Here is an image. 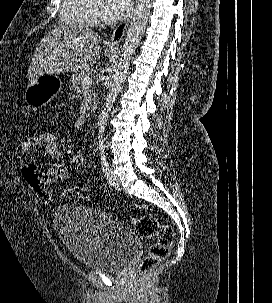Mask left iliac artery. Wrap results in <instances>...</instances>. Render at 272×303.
Here are the masks:
<instances>
[{"label": "left iliac artery", "instance_id": "obj_1", "mask_svg": "<svg viewBox=\"0 0 272 303\" xmlns=\"http://www.w3.org/2000/svg\"><path fill=\"white\" fill-rule=\"evenodd\" d=\"M99 150H100L102 171H103V173L106 174L109 169V165H108V162H107V159L105 156V145L100 144Z\"/></svg>", "mask_w": 272, "mask_h": 303}]
</instances>
